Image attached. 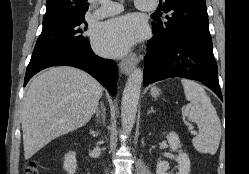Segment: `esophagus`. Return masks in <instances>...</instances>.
Returning a JSON list of instances; mask_svg holds the SVG:
<instances>
[{
  "mask_svg": "<svg viewBox=\"0 0 249 174\" xmlns=\"http://www.w3.org/2000/svg\"><path fill=\"white\" fill-rule=\"evenodd\" d=\"M138 58L135 54L130 55L129 57L122 59L120 62L121 70L125 75H129L134 66L137 64Z\"/></svg>",
  "mask_w": 249,
  "mask_h": 174,
  "instance_id": "1",
  "label": "esophagus"
}]
</instances>
